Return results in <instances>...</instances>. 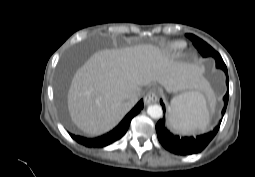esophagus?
Returning <instances> with one entry per match:
<instances>
[{"instance_id": "34e87169", "label": "esophagus", "mask_w": 255, "mask_h": 177, "mask_svg": "<svg viewBox=\"0 0 255 177\" xmlns=\"http://www.w3.org/2000/svg\"><path fill=\"white\" fill-rule=\"evenodd\" d=\"M159 96L156 89L152 88L144 97V103L146 105L154 103L158 100Z\"/></svg>"}]
</instances>
